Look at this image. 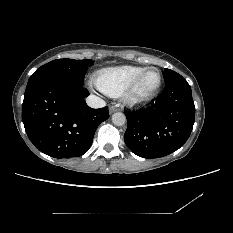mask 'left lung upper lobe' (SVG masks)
<instances>
[{"mask_svg":"<svg viewBox=\"0 0 233 233\" xmlns=\"http://www.w3.org/2000/svg\"><path fill=\"white\" fill-rule=\"evenodd\" d=\"M163 76H164L165 84L170 83L171 81H174L179 77H182L180 74L170 69H165L163 71Z\"/></svg>","mask_w":233,"mask_h":233,"instance_id":"1","label":"left lung upper lobe"}]
</instances>
